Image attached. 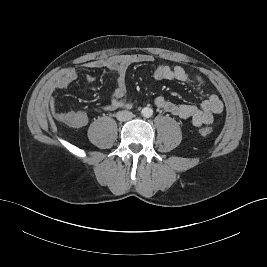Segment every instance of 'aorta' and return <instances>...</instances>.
<instances>
[{"instance_id": "aorta-1", "label": "aorta", "mask_w": 267, "mask_h": 267, "mask_svg": "<svg viewBox=\"0 0 267 267\" xmlns=\"http://www.w3.org/2000/svg\"><path fill=\"white\" fill-rule=\"evenodd\" d=\"M141 113H142L143 117L149 118L153 115V110L150 107H145L142 109Z\"/></svg>"}]
</instances>
